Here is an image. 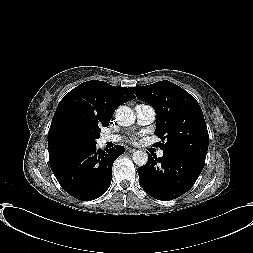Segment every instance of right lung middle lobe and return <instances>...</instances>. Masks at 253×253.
<instances>
[{"instance_id": "right-lung-middle-lobe-1", "label": "right lung middle lobe", "mask_w": 253, "mask_h": 253, "mask_svg": "<svg viewBox=\"0 0 253 253\" xmlns=\"http://www.w3.org/2000/svg\"><path fill=\"white\" fill-rule=\"evenodd\" d=\"M100 137V129L80 122L63 125L59 132V139L70 149L84 148L96 145Z\"/></svg>"}]
</instances>
